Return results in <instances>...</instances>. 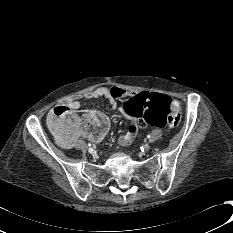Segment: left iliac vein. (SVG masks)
<instances>
[{"label":"left iliac vein","mask_w":233,"mask_h":233,"mask_svg":"<svg viewBox=\"0 0 233 233\" xmlns=\"http://www.w3.org/2000/svg\"><path fill=\"white\" fill-rule=\"evenodd\" d=\"M150 145L149 144H145L144 146H143V149H144V151H149L150 150Z\"/></svg>","instance_id":"left-iliac-vein-1"}]
</instances>
